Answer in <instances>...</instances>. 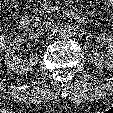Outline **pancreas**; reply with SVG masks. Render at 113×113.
<instances>
[{"instance_id":"obj_1","label":"pancreas","mask_w":113,"mask_h":113,"mask_svg":"<svg viewBox=\"0 0 113 113\" xmlns=\"http://www.w3.org/2000/svg\"><path fill=\"white\" fill-rule=\"evenodd\" d=\"M32 19L35 24H38L42 23L43 21H46L47 19H49V17L41 14V12L37 10L33 12Z\"/></svg>"}]
</instances>
